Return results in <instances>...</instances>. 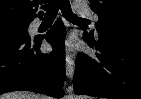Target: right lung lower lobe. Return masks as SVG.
<instances>
[{"instance_id":"98d812e1","label":"right lung lower lobe","mask_w":141,"mask_h":99,"mask_svg":"<svg viewBox=\"0 0 141 99\" xmlns=\"http://www.w3.org/2000/svg\"><path fill=\"white\" fill-rule=\"evenodd\" d=\"M64 25L57 21L47 33L53 51L43 54L42 38L0 33V94L29 90L63 96L65 78Z\"/></svg>"}]
</instances>
